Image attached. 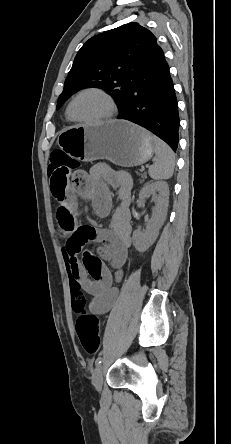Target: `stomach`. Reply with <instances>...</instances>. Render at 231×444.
<instances>
[{"instance_id":"0dacf381","label":"stomach","mask_w":231,"mask_h":444,"mask_svg":"<svg viewBox=\"0 0 231 444\" xmlns=\"http://www.w3.org/2000/svg\"><path fill=\"white\" fill-rule=\"evenodd\" d=\"M57 143L75 159L87 162L106 159L122 167L144 164L154 153L151 134L125 120L65 128L59 133Z\"/></svg>"}]
</instances>
